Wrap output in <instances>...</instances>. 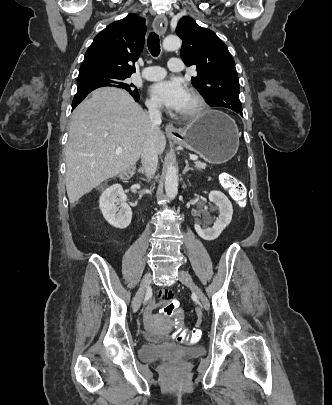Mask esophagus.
Here are the masks:
<instances>
[{
  "label": "esophagus",
  "instance_id": "1",
  "mask_svg": "<svg viewBox=\"0 0 332 405\" xmlns=\"http://www.w3.org/2000/svg\"><path fill=\"white\" fill-rule=\"evenodd\" d=\"M167 26H168V21L164 15L156 16L154 23H153V27L157 33H159L160 35H164L167 30ZM165 132L168 136H171V137H176L181 134V132L171 124H166Z\"/></svg>",
  "mask_w": 332,
  "mask_h": 405
}]
</instances>
